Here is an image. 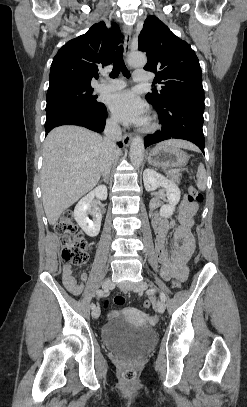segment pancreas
<instances>
[{
	"label": "pancreas",
	"instance_id": "1",
	"mask_svg": "<svg viewBox=\"0 0 247 407\" xmlns=\"http://www.w3.org/2000/svg\"><path fill=\"white\" fill-rule=\"evenodd\" d=\"M166 174L172 181L180 182L181 180V174L176 170H169Z\"/></svg>",
	"mask_w": 247,
	"mask_h": 407
}]
</instances>
